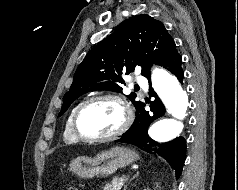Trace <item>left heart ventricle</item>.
Returning <instances> with one entry per match:
<instances>
[{
	"label": "left heart ventricle",
	"mask_w": 238,
	"mask_h": 190,
	"mask_svg": "<svg viewBox=\"0 0 238 190\" xmlns=\"http://www.w3.org/2000/svg\"><path fill=\"white\" fill-rule=\"evenodd\" d=\"M123 118V111L116 102L96 101L82 111L79 117V128L87 136H104L118 129Z\"/></svg>",
	"instance_id": "b2bd125f"
}]
</instances>
